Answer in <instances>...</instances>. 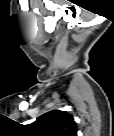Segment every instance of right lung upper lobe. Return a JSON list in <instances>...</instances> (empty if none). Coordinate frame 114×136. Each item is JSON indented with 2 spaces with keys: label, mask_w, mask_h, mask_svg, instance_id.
I'll return each mask as SVG.
<instances>
[{
  "label": "right lung upper lobe",
  "mask_w": 114,
  "mask_h": 136,
  "mask_svg": "<svg viewBox=\"0 0 114 136\" xmlns=\"http://www.w3.org/2000/svg\"><path fill=\"white\" fill-rule=\"evenodd\" d=\"M34 136H76V122L66 111L52 110L37 118L28 127Z\"/></svg>",
  "instance_id": "1"
}]
</instances>
